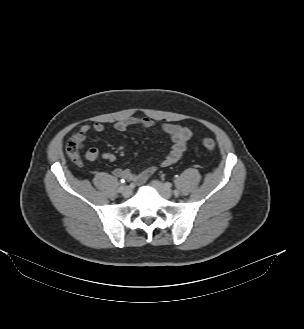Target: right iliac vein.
Segmentation results:
<instances>
[{"label":"right iliac vein","instance_id":"63e3f726","mask_svg":"<svg viewBox=\"0 0 304 329\" xmlns=\"http://www.w3.org/2000/svg\"><path fill=\"white\" fill-rule=\"evenodd\" d=\"M132 193V190L130 187L126 186L123 188V191H122V196L125 197V198H128Z\"/></svg>","mask_w":304,"mask_h":329}]
</instances>
